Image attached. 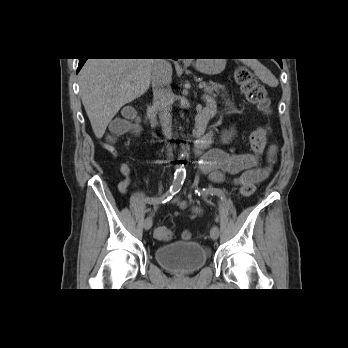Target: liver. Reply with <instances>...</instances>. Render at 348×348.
<instances>
[{"label": "liver", "mask_w": 348, "mask_h": 348, "mask_svg": "<svg viewBox=\"0 0 348 348\" xmlns=\"http://www.w3.org/2000/svg\"><path fill=\"white\" fill-rule=\"evenodd\" d=\"M154 59H88L79 73L81 100L100 139L125 104L150 87Z\"/></svg>", "instance_id": "1"}]
</instances>
